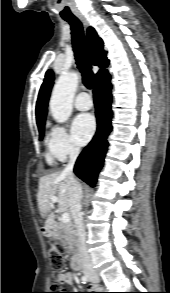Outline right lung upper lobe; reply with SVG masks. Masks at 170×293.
Masks as SVG:
<instances>
[{
  "label": "right lung upper lobe",
  "mask_w": 170,
  "mask_h": 293,
  "mask_svg": "<svg viewBox=\"0 0 170 293\" xmlns=\"http://www.w3.org/2000/svg\"><path fill=\"white\" fill-rule=\"evenodd\" d=\"M88 55L94 65H98L100 71L96 75V82L102 77L109 75L107 70L103 69L108 66L109 60L106 58V52L103 50V41L97 36L96 31L89 27L87 31ZM54 74L48 70L45 75L44 82L40 88L38 100L36 104V120L38 128L44 127L47 113V104L50 91L53 85Z\"/></svg>",
  "instance_id": "right-lung-upper-lobe-1"
}]
</instances>
